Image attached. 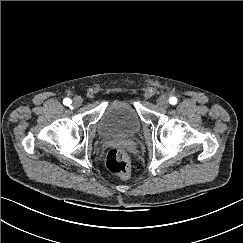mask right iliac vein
Returning a JSON list of instances; mask_svg holds the SVG:
<instances>
[{
	"label": "right iliac vein",
	"instance_id": "1",
	"mask_svg": "<svg viewBox=\"0 0 243 243\" xmlns=\"http://www.w3.org/2000/svg\"><path fill=\"white\" fill-rule=\"evenodd\" d=\"M82 102H83L82 98L80 96H76L73 98L72 105L74 107H79L81 106Z\"/></svg>",
	"mask_w": 243,
	"mask_h": 243
}]
</instances>
